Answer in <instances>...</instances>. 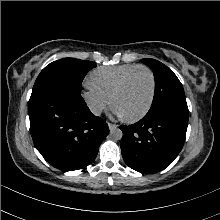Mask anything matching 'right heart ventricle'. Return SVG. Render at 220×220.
<instances>
[{"mask_svg": "<svg viewBox=\"0 0 220 220\" xmlns=\"http://www.w3.org/2000/svg\"><path fill=\"white\" fill-rule=\"evenodd\" d=\"M135 64L98 67L87 78L90 87L111 99V96L122 78L132 69Z\"/></svg>", "mask_w": 220, "mask_h": 220, "instance_id": "1", "label": "right heart ventricle"}]
</instances>
